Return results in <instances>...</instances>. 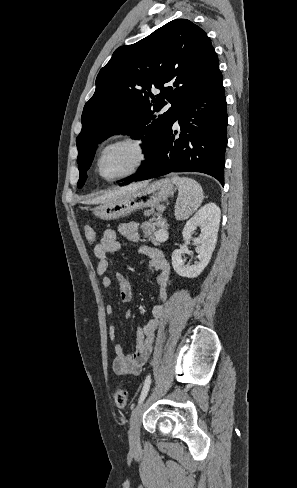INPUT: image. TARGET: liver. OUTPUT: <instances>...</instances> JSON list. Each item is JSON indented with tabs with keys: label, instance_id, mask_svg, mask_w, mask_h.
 Instances as JSON below:
<instances>
[{
	"label": "liver",
	"instance_id": "obj_1",
	"mask_svg": "<svg viewBox=\"0 0 297 488\" xmlns=\"http://www.w3.org/2000/svg\"><path fill=\"white\" fill-rule=\"evenodd\" d=\"M148 182L147 181H144V182H140V183H134V184H130V185H127L125 187H122V188H119L117 190H113V191H110V192H107L101 196H98L94 199L91 200L92 203H105V202H109V201H112V200H115L116 198H118V196L126 193V192H131V191H135L137 190L138 188H141L145 185H147Z\"/></svg>",
	"mask_w": 297,
	"mask_h": 488
}]
</instances>
